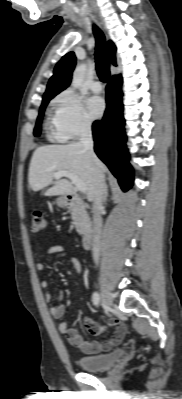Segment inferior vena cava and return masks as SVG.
<instances>
[{
	"label": "inferior vena cava",
	"mask_w": 182,
	"mask_h": 399,
	"mask_svg": "<svg viewBox=\"0 0 182 399\" xmlns=\"http://www.w3.org/2000/svg\"><path fill=\"white\" fill-rule=\"evenodd\" d=\"M79 144L87 152L92 162L97 166L99 159L93 150V138L91 131V122L84 121L80 128V141ZM105 178L103 173L97 168L95 171V183H94V200H93V245L92 255L94 262L99 263L100 250H101V232H102V217L101 210L104 203L105 194Z\"/></svg>",
	"instance_id": "inferior-vena-cava-1"
}]
</instances>
